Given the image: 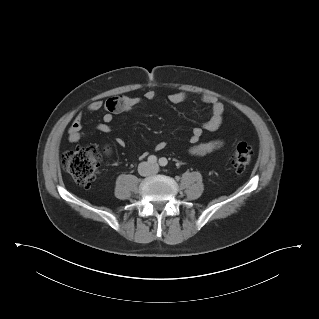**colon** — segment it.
Listing matches in <instances>:
<instances>
[{
    "mask_svg": "<svg viewBox=\"0 0 319 319\" xmlns=\"http://www.w3.org/2000/svg\"><path fill=\"white\" fill-rule=\"evenodd\" d=\"M114 103L108 102L109 108ZM252 149L246 142L236 143L233 155L232 166L237 173H243L250 164ZM103 153L93 146H83L74 151L65 153L62 156V165L71 175L76 183L88 187L94 181Z\"/></svg>",
    "mask_w": 319,
    "mask_h": 319,
    "instance_id": "1",
    "label": "colon"
}]
</instances>
